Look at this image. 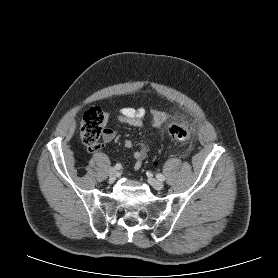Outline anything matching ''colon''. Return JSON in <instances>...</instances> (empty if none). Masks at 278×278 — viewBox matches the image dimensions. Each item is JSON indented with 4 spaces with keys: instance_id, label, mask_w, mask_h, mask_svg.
<instances>
[{
    "instance_id": "5ec220e1",
    "label": "colon",
    "mask_w": 278,
    "mask_h": 278,
    "mask_svg": "<svg viewBox=\"0 0 278 278\" xmlns=\"http://www.w3.org/2000/svg\"><path fill=\"white\" fill-rule=\"evenodd\" d=\"M105 116L98 107L89 109L83 115L80 124V135L83 143L89 149H96L104 131ZM168 134L181 142L187 149L191 146V130L185 123H174L168 127Z\"/></svg>"
}]
</instances>
